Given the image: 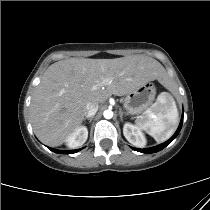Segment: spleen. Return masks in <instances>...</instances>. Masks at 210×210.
I'll list each match as a JSON object with an SVG mask.
<instances>
[{
  "instance_id": "3e777b00",
  "label": "spleen",
  "mask_w": 210,
  "mask_h": 210,
  "mask_svg": "<svg viewBox=\"0 0 210 210\" xmlns=\"http://www.w3.org/2000/svg\"><path fill=\"white\" fill-rule=\"evenodd\" d=\"M166 86L171 89V84L167 81ZM178 117L173 96L162 92L158 95L156 102L137 119L136 124L157 142H164L174 134Z\"/></svg>"
}]
</instances>
